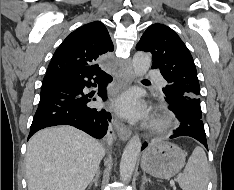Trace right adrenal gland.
I'll return each instance as SVG.
<instances>
[{
  "label": "right adrenal gland",
  "instance_id": "right-adrenal-gland-1",
  "mask_svg": "<svg viewBox=\"0 0 234 190\" xmlns=\"http://www.w3.org/2000/svg\"><path fill=\"white\" fill-rule=\"evenodd\" d=\"M99 177H100V170L98 169L96 172L95 178L89 184V188L93 185V183L95 184V187L98 186Z\"/></svg>",
  "mask_w": 234,
  "mask_h": 190
}]
</instances>
